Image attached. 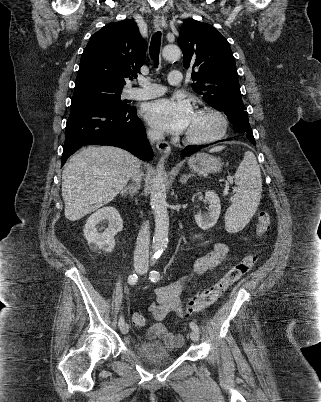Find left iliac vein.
I'll use <instances>...</instances> for the list:
<instances>
[{"mask_svg": "<svg viewBox=\"0 0 321 402\" xmlns=\"http://www.w3.org/2000/svg\"><path fill=\"white\" fill-rule=\"evenodd\" d=\"M144 272L145 271L143 270L141 273L143 274ZM190 337H191V340L193 342H198L199 341V333H198V331L192 330L191 333H190Z\"/></svg>", "mask_w": 321, "mask_h": 402, "instance_id": "obj_1", "label": "left iliac vein"}]
</instances>
